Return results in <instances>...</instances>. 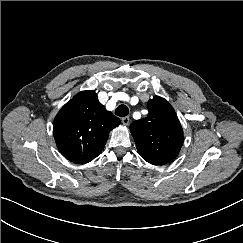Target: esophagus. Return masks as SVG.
I'll return each instance as SVG.
<instances>
[{"label": "esophagus", "instance_id": "34e87169", "mask_svg": "<svg viewBox=\"0 0 243 243\" xmlns=\"http://www.w3.org/2000/svg\"><path fill=\"white\" fill-rule=\"evenodd\" d=\"M121 121H122V123L124 124V125H129V123H130V119H129V117H123L122 119H121Z\"/></svg>", "mask_w": 243, "mask_h": 243}]
</instances>
